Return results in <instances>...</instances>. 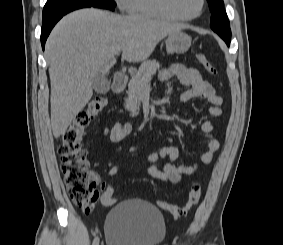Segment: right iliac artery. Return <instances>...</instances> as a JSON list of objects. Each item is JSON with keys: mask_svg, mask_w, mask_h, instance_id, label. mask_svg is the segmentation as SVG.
Segmentation results:
<instances>
[{"mask_svg": "<svg viewBox=\"0 0 283 245\" xmlns=\"http://www.w3.org/2000/svg\"><path fill=\"white\" fill-rule=\"evenodd\" d=\"M92 245H99V238H98V237H96V238L93 240Z\"/></svg>", "mask_w": 283, "mask_h": 245, "instance_id": "1", "label": "right iliac artery"}]
</instances>
